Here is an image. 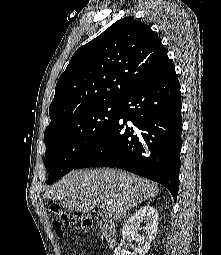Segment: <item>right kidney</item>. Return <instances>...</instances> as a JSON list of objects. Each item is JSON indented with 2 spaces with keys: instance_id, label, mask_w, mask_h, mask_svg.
<instances>
[{
  "instance_id": "obj_1",
  "label": "right kidney",
  "mask_w": 221,
  "mask_h": 255,
  "mask_svg": "<svg viewBox=\"0 0 221 255\" xmlns=\"http://www.w3.org/2000/svg\"><path fill=\"white\" fill-rule=\"evenodd\" d=\"M158 219V211L153 206L145 205L140 207L128 218L122 228V239L125 241L126 238L135 236L137 245L132 248L131 253L118 246L115 248L113 255H145L157 234ZM142 222L145 223L143 227L144 234H138V231L142 228L140 226Z\"/></svg>"
}]
</instances>
